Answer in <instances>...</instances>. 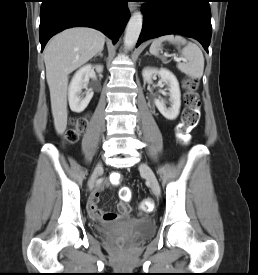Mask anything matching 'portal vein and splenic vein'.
I'll use <instances>...</instances> for the list:
<instances>
[{"label": "portal vein and splenic vein", "mask_w": 258, "mask_h": 275, "mask_svg": "<svg viewBox=\"0 0 258 275\" xmlns=\"http://www.w3.org/2000/svg\"><path fill=\"white\" fill-rule=\"evenodd\" d=\"M174 60L177 61V62L185 61L184 58H180V57H176V56H174Z\"/></svg>", "instance_id": "18ae733b"}]
</instances>
